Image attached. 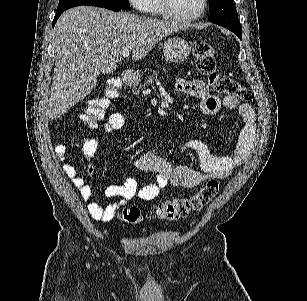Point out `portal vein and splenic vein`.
Wrapping results in <instances>:
<instances>
[{
	"label": "portal vein and splenic vein",
	"mask_w": 307,
	"mask_h": 301,
	"mask_svg": "<svg viewBox=\"0 0 307 301\" xmlns=\"http://www.w3.org/2000/svg\"><path fill=\"white\" fill-rule=\"evenodd\" d=\"M130 50L129 48H123L122 50V56H129Z\"/></svg>",
	"instance_id": "1"
}]
</instances>
